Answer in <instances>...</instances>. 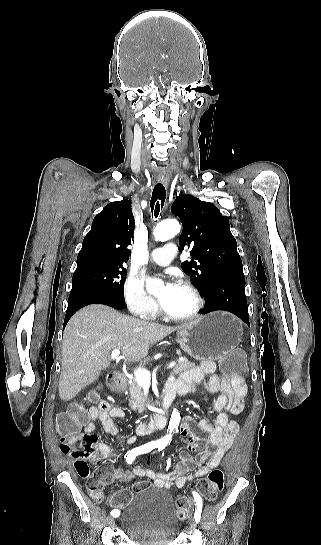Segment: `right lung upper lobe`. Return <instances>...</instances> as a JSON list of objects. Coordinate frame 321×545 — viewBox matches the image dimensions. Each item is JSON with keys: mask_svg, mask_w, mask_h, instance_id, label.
<instances>
[{"mask_svg": "<svg viewBox=\"0 0 321 545\" xmlns=\"http://www.w3.org/2000/svg\"><path fill=\"white\" fill-rule=\"evenodd\" d=\"M134 217L131 201L109 203L92 222L82 243L77 268L87 265H123L127 262L133 241Z\"/></svg>", "mask_w": 321, "mask_h": 545, "instance_id": "obj_1", "label": "right lung upper lobe"}]
</instances>
